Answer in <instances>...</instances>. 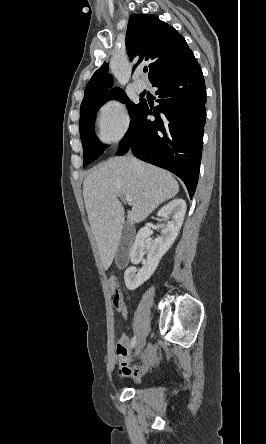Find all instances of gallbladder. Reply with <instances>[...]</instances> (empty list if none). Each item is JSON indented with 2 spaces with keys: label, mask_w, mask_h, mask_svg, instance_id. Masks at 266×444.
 <instances>
[{
  "label": "gallbladder",
  "mask_w": 266,
  "mask_h": 444,
  "mask_svg": "<svg viewBox=\"0 0 266 444\" xmlns=\"http://www.w3.org/2000/svg\"><path fill=\"white\" fill-rule=\"evenodd\" d=\"M131 237V230L128 223L123 226L120 238V245L116 255V265L119 269L123 268L127 261V249Z\"/></svg>",
  "instance_id": "obj_1"
}]
</instances>
